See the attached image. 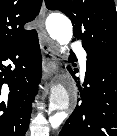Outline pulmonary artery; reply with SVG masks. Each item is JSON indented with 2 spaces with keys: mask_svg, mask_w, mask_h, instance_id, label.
<instances>
[{
  "mask_svg": "<svg viewBox=\"0 0 117 136\" xmlns=\"http://www.w3.org/2000/svg\"><path fill=\"white\" fill-rule=\"evenodd\" d=\"M73 49L76 51L79 57L82 71L85 72L86 71V57H87L85 50L79 45H73Z\"/></svg>",
  "mask_w": 117,
  "mask_h": 136,
  "instance_id": "pulmonary-artery-1",
  "label": "pulmonary artery"
}]
</instances>
